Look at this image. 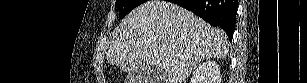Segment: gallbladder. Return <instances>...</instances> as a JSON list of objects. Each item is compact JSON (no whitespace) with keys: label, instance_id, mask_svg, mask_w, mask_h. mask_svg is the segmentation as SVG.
I'll use <instances>...</instances> for the list:
<instances>
[{"label":"gallbladder","instance_id":"gallbladder-1","mask_svg":"<svg viewBox=\"0 0 307 83\" xmlns=\"http://www.w3.org/2000/svg\"><path fill=\"white\" fill-rule=\"evenodd\" d=\"M164 73L161 69L150 66L128 73V83H163Z\"/></svg>","mask_w":307,"mask_h":83}]
</instances>
